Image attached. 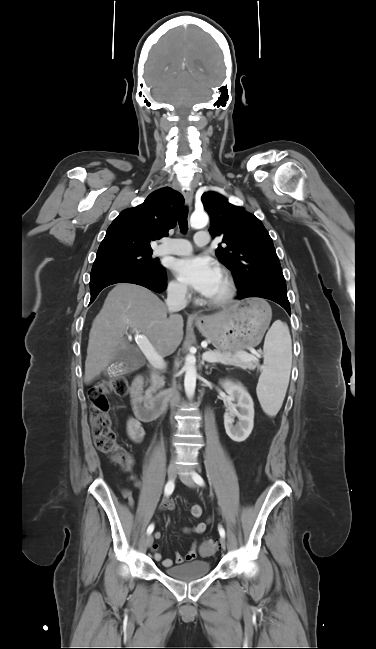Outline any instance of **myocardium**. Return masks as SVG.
Listing matches in <instances>:
<instances>
[{"instance_id": "obj_1", "label": "myocardium", "mask_w": 376, "mask_h": 649, "mask_svg": "<svg viewBox=\"0 0 376 649\" xmlns=\"http://www.w3.org/2000/svg\"><path fill=\"white\" fill-rule=\"evenodd\" d=\"M220 274L226 283L225 293L215 299L206 298V303L212 307H222L230 303L236 295V284L232 275L226 270L221 269Z\"/></svg>"}]
</instances>
